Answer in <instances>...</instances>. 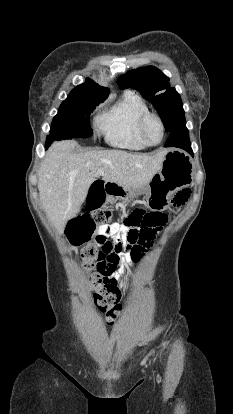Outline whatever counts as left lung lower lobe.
Segmentation results:
<instances>
[{
  "mask_svg": "<svg viewBox=\"0 0 233 414\" xmlns=\"http://www.w3.org/2000/svg\"><path fill=\"white\" fill-rule=\"evenodd\" d=\"M165 147H179L186 150L190 154H193L185 118L177 122L171 129V134L165 144Z\"/></svg>",
  "mask_w": 233,
  "mask_h": 414,
  "instance_id": "obj_1",
  "label": "left lung lower lobe"
}]
</instances>
